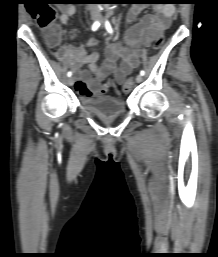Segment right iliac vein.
<instances>
[{"mask_svg":"<svg viewBox=\"0 0 218 257\" xmlns=\"http://www.w3.org/2000/svg\"><path fill=\"white\" fill-rule=\"evenodd\" d=\"M67 83L69 86H72L74 84V78L73 77H69L67 80Z\"/></svg>","mask_w":218,"mask_h":257,"instance_id":"1","label":"right iliac vein"}]
</instances>
